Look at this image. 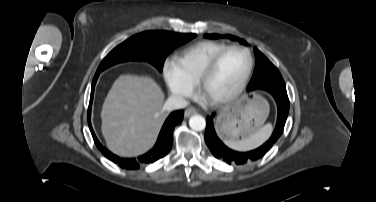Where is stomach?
<instances>
[{"label": "stomach", "mask_w": 376, "mask_h": 202, "mask_svg": "<svg viewBox=\"0 0 376 202\" xmlns=\"http://www.w3.org/2000/svg\"><path fill=\"white\" fill-rule=\"evenodd\" d=\"M268 112V104L262 97H241L218 116V132L226 142L244 140L262 128Z\"/></svg>", "instance_id": "stomach-1"}]
</instances>
